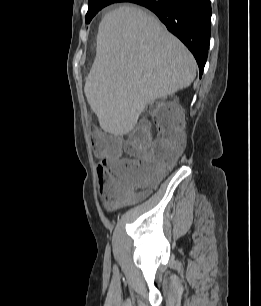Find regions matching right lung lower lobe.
Masks as SVG:
<instances>
[{
    "label": "right lung lower lobe",
    "mask_w": 261,
    "mask_h": 306,
    "mask_svg": "<svg viewBox=\"0 0 261 306\" xmlns=\"http://www.w3.org/2000/svg\"><path fill=\"white\" fill-rule=\"evenodd\" d=\"M154 12L192 52L200 70L206 63L211 35L210 0H131Z\"/></svg>",
    "instance_id": "1"
}]
</instances>
